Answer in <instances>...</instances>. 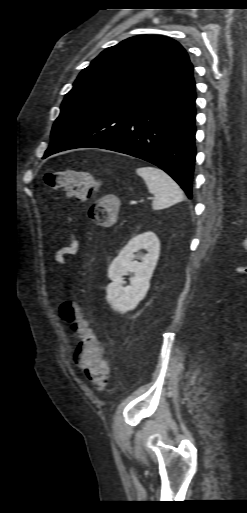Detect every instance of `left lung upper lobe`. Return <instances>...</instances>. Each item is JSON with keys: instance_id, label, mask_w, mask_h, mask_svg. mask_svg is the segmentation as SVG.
Returning <instances> with one entry per match:
<instances>
[{"instance_id": "left-lung-upper-lobe-1", "label": "left lung upper lobe", "mask_w": 247, "mask_h": 513, "mask_svg": "<svg viewBox=\"0 0 247 513\" xmlns=\"http://www.w3.org/2000/svg\"><path fill=\"white\" fill-rule=\"evenodd\" d=\"M189 64L185 49L165 36H135L105 49L82 70L66 94L45 155L96 120L168 81Z\"/></svg>"}]
</instances>
